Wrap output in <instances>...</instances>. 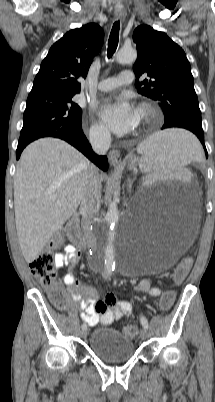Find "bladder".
<instances>
[{
    "label": "bladder",
    "instance_id": "bladder-1",
    "mask_svg": "<svg viewBox=\"0 0 215 402\" xmlns=\"http://www.w3.org/2000/svg\"><path fill=\"white\" fill-rule=\"evenodd\" d=\"M89 347L97 358L106 362L125 361L135 353L132 339L114 328L95 329L90 336Z\"/></svg>",
    "mask_w": 215,
    "mask_h": 402
}]
</instances>
